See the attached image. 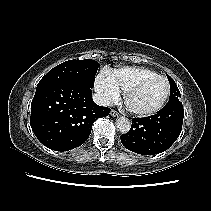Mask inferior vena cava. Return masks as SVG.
I'll return each mask as SVG.
<instances>
[{
    "mask_svg": "<svg viewBox=\"0 0 211 211\" xmlns=\"http://www.w3.org/2000/svg\"><path fill=\"white\" fill-rule=\"evenodd\" d=\"M93 101L99 106H109L111 104L109 99L99 93L93 95Z\"/></svg>",
    "mask_w": 211,
    "mask_h": 211,
    "instance_id": "obj_1",
    "label": "inferior vena cava"
}]
</instances>
